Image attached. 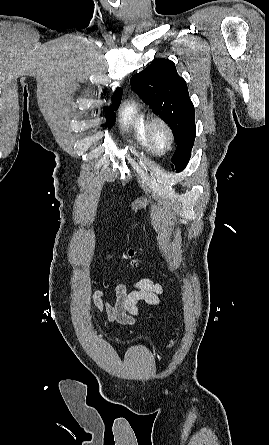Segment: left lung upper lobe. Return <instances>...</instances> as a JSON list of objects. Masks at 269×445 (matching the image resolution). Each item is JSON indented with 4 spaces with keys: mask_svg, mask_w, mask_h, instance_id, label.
Returning a JSON list of instances; mask_svg holds the SVG:
<instances>
[{
    "mask_svg": "<svg viewBox=\"0 0 269 445\" xmlns=\"http://www.w3.org/2000/svg\"><path fill=\"white\" fill-rule=\"evenodd\" d=\"M131 87L152 111L168 123L177 143L172 168L187 165L196 137L195 109L187 84L170 60L158 59L131 78Z\"/></svg>",
    "mask_w": 269,
    "mask_h": 445,
    "instance_id": "5c2ea615",
    "label": "left lung upper lobe"
}]
</instances>
